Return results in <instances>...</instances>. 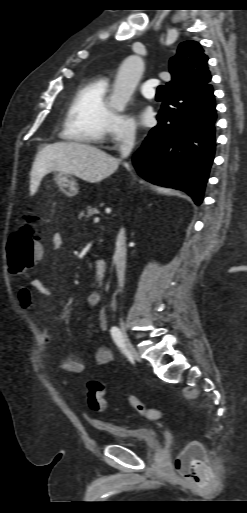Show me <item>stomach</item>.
I'll return each instance as SVG.
<instances>
[{
  "instance_id": "stomach-1",
  "label": "stomach",
  "mask_w": 247,
  "mask_h": 513,
  "mask_svg": "<svg viewBox=\"0 0 247 513\" xmlns=\"http://www.w3.org/2000/svg\"><path fill=\"white\" fill-rule=\"evenodd\" d=\"M54 180L68 196H74L78 193V183L71 174L55 171Z\"/></svg>"
}]
</instances>
